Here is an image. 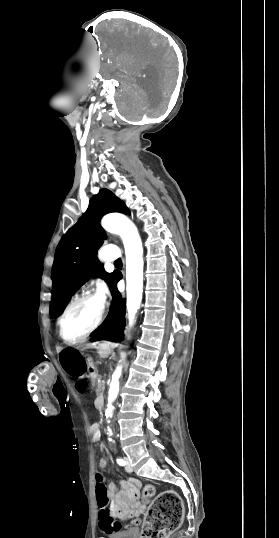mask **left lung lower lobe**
<instances>
[{"instance_id":"obj_1","label":"left lung lower lobe","mask_w":279,"mask_h":538,"mask_svg":"<svg viewBox=\"0 0 279 538\" xmlns=\"http://www.w3.org/2000/svg\"><path fill=\"white\" fill-rule=\"evenodd\" d=\"M118 280L119 278L117 277L116 283L112 289L113 310L105 322L91 334L92 341L104 339L117 340L120 337H124L123 330L125 327L126 306L116 287Z\"/></svg>"}]
</instances>
